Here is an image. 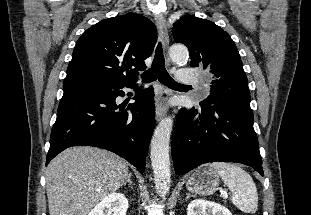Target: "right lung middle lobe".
I'll return each mask as SVG.
<instances>
[{
  "instance_id": "right-lung-middle-lobe-1",
  "label": "right lung middle lobe",
  "mask_w": 311,
  "mask_h": 215,
  "mask_svg": "<svg viewBox=\"0 0 311 215\" xmlns=\"http://www.w3.org/2000/svg\"><path fill=\"white\" fill-rule=\"evenodd\" d=\"M89 87V84H74V85H68L64 86V91L68 89H84Z\"/></svg>"
}]
</instances>
